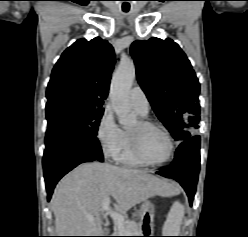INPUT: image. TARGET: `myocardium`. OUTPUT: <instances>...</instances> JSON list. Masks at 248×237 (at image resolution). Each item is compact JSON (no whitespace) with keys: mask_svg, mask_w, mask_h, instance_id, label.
I'll return each mask as SVG.
<instances>
[{"mask_svg":"<svg viewBox=\"0 0 248 237\" xmlns=\"http://www.w3.org/2000/svg\"><path fill=\"white\" fill-rule=\"evenodd\" d=\"M138 127L140 130L146 129V128H155V129H158L160 132H162L168 141L169 152L166 158H164L161 161H151L147 159L146 156L142 152L138 133L128 131L129 141H130L131 149H132L134 156L144 165H148V166L157 167V166H162L168 163L172 159L174 152H175V144L169 131L161 124L154 122V121H150L148 119H143V118L138 121Z\"/></svg>","mask_w":248,"mask_h":237,"instance_id":"obj_1","label":"myocardium"}]
</instances>
